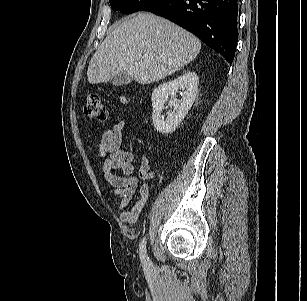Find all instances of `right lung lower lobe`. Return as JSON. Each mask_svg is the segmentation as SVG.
<instances>
[{
	"label": "right lung lower lobe",
	"mask_w": 307,
	"mask_h": 301,
	"mask_svg": "<svg viewBox=\"0 0 307 301\" xmlns=\"http://www.w3.org/2000/svg\"><path fill=\"white\" fill-rule=\"evenodd\" d=\"M141 11L167 18L233 62L238 40L237 0H156Z\"/></svg>",
	"instance_id": "right-lung-lower-lobe-1"
}]
</instances>
